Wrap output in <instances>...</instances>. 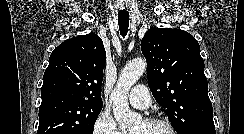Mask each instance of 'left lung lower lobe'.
Wrapping results in <instances>:
<instances>
[{
    "mask_svg": "<svg viewBox=\"0 0 244 134\" xmlns=\"http://www.w3.org/2000/svg\"><path fill=\"white\" fill-rule=\"evenodd\" d=\"M191 134H216L214 129H198L193 131Z\"/></svg>",
    "mask_w": 244,
    "mask_h": 134,
    "instance_id": "left-lung-lower-lobe-1",
    "label": "left lung lower lobe"
}]
</instances>
